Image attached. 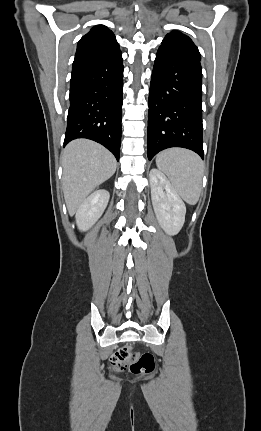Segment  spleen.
<instances>
[{
  "mask_svg": "<svg viewBox=\"0 0 261 431\" xmlns=\"http://www.w3.org/2000/svg\"><path fill=\"white\" fill-rule=\"evenodd\" d=\"M156 165L169 178L174 190L190 205L200 197L203 163L200 157L186 149L172 148L159 153Z\"/></svg>",
  "mask_w": 261,
  "mask_h": 431,
  "instance_id": "spleen-1",
  "label": "spleen"
}]
</instances>
